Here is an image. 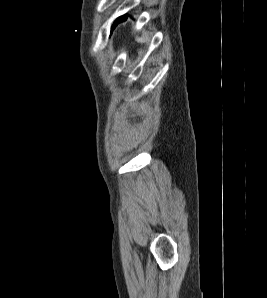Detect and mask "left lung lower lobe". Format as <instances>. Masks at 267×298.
I'll return each mask as SVG.
<instances>
[{"instance_id":"1","label":"left lung lower lobe","mask_w":267,"mask_h":298,"mask_svg":"<svg viewBox=\"0 0 267 298\" xmlns=\"http://www.w3.org/2000/svg\"><path fill=\"white\" fill-rule=\"evenodd\" d=\"M126 17H127V15H124V16L119 17V18L114 22V24H117V23L120 22V21H124V20L126 19Z\"/></svg>"}]
</instances>
